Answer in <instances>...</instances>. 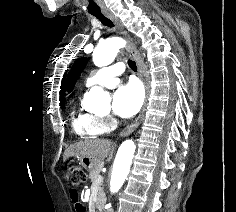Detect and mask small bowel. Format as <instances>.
Instances as JSON below:
<instances>
[{"instance_id":"small-bowel-1","label":"small bowel","mask_w":236,"mask_h":212,"mask_svg":"<svg viewBox=\"0 0 236 212\" xmlns=\"http://www.w3.org/2000/svg\"><path fill=\"white\" fill-rule=\"evenodd\" d=\"M69 202H74V212H89L88 205H81L79 190H68Z\"/></svg>"}]
</instances>
